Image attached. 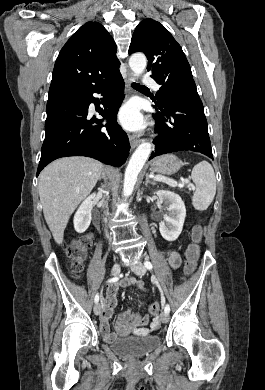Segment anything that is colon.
<instances>
[{"label":"colon","mask_w":265,"mask_h":390,"mask_svg":"<svg viewBox=\"0 0 265 390\" xmlns=\"http://www.w3.org/2000/svg\"><path fill=\"white\" fill-rule=\"evenodd\" d=\"M202 240V230L199 226L195 227L193 233V242L189 245L186 251V262L184 265V271L187 275L192 274L197 266L200 252V242ZM92 235L84 234L77 238L66 251L69 259L70 268L74 276H78L82 270L84 262L87 258L88 251L92 246ZM161 309V304L158 302L153 303L149 307L150 313L158 320V314Z\"/></svg>","instance_id":"colon-1"}]
</instances>
